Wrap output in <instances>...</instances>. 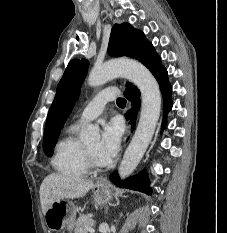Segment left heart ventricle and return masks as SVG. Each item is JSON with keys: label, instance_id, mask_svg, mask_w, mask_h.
Listing matches in <instances>:
<instances>
[{"label": "left heart ventricle", "instance_id": "b2bd125f", "mask_svg": "<svg viewBox=\"0 0 227 233\" xmlns=\"http://www.w3.org/2000/svg\"><path fill=\"white\" fill-rule=\"evenodd\" d=\"M98 147H99V146L96 144V145H92V146H90V147H87L86 150H87L90 154H92L98 162H100V161L98 160V158H97V150H98ZM100 163H101V162H100Z\"/></svg>", "mask_w": 227, "mask_h": 233}]
</instances>
